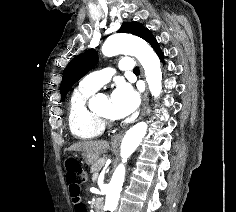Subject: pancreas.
Wrapping results in <instances>:
<instances>
[{"label": "pancreas", "instance_id": "cf45deb5", "mask_svg": "<svg viewBox=\"0 0 236 212\" xmlns=\"http://www.w3.org/2000/svg\"><path fill=\"white\" fill-rule=\"evenodd\" d=\"M104 165V161L103 160H97L92 166H91V173L93 174V178L94 177H98V173L101 170V168ZM92 178V179H93ZM93 181H96V179H93Z\"/></svg>", "mask_w": 236, "mask_h": 212}]
</instances>
